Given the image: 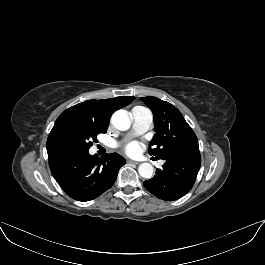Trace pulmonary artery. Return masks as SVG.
Instances as JSON below:
<instances>
[{
    "instance_id": "pulmonary-artery-1",
    "label": "pulmonary artery",
    "mask_w": 265,
    "mask_h": 265,
    "mask_svg": "<svg viewBox=\"0 0 265 265\" xmlns=\"http://www.w3.org/2000/svg\"><path fill=\"white\" fill-rule=\"evenodd\" d=\"M131 116L133 121L132 130L134 134L144 133L150 128L152 123V115L146 108H133L131 111Z\"/></svg>"
}]
</instances>
